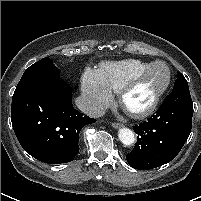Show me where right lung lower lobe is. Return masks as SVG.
<instances>
[{"label": "right lung lower lobe", "mask_w": 201, "mask_h": 201, "mask_svg": "<svg viewBox=\"0 0 201 201\" xmlns=\"http://www.w3.org/2000/svg\"><path fill=\"white\" fill-rule=\"evenodd\" d=\"M59 73L57 67H29L12 97L11 121L19 143L48 164L72 161L81 129L96 121L74 109L71 89Z\"/></svg>", "instance_id": "right-lung-lower-lobe-1"}]
</instances>
